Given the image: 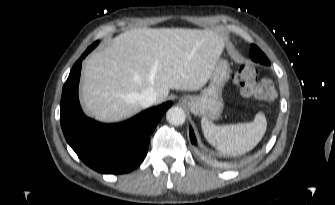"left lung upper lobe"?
<instances>
[{"label":"left lung upper lobe","mask_w":335,"mask_h":205,"mask_svg":"<svg viewBox=\"0 0 335 205\" xmlns=\"http://www.w3.org/2000/svg\"><path fill=\"white\" fill-rule=\"evenodd\" d=\"M250 57L255 62L264 65H270V61L268 60L266 55L256 45H251Z\"/></svg>","instance_id":"left-lung-upper-lobe-1"}]
</instances>
